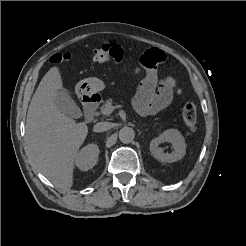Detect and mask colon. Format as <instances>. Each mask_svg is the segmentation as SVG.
I'll return each mask as SVG.
<instances>
[{
  "label": "colon",
  "mask_w": 246,
  "mask_h": 246,
  "mask_svg": "<svg viewBox=\"0 0 246 246\" xmlns=\"http://www.w3.org/2000/svg\"><path fill=\"white\" fill-rule=\"evenodd\" d=\"M72 58L70 53L55 54L53 63H62ZM91 58L96 63H119L123 58L121 47L115 43L105 44L92 51ZM182 120L187 128H194L197 122V107L193 102H187L182 109Z\"/></svg>",
  "instance_id": "obj_1"
}]
</instances>
